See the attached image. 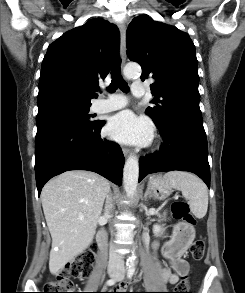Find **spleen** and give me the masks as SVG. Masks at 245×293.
Returning <instances> with one entry per match:
<instances>
[{
	"instance_id": "obj_1",
	"label": "spleen",
	"mask_w": 245,
	"mask_h": 293,
	"mask_svg": "<svg viewBox=\"0 0 245 293\" xmlns=\"http://www.w3.org/2000/svg\"><path fill=\"white\" fill-rule=\"evenodd\" d=\"M165 179L171 186L182 192L188 200L191 212L196 218H203L208 209V190L204 182L197 176L183 171H170Z\"/></svg>"
}]
</instances>
